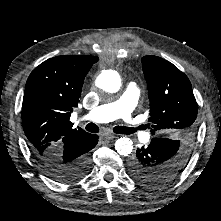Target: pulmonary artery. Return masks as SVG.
Segmentation results:
<instances>
[{"instance_id":"obj_1","label":"pulmonary artery","mask_w":221,"mask_h":221,"mask_svg":"<svg viewBox=\"0 0 221 221\" xmlns=\"http://www.w3.org/2000/svg\"><path fill=\"white\" fill-rule=\"evenodd\" d=\"M139 94L138 86L135 83H129L118 99L92 109L82 117V120L104 123L121 118L126 127L137 133L139 128L135 118L132 116V112L136 106ZM141 135L144 136L146 133Z\"/></svg>"}]
</instances>
